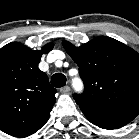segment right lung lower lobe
I'll list each match as a JSON object with an SVG mask.
<instances>
[{
	"label": "right lung lower lobe",
	"mask_w": 139,
	"mask_h": 139,
	"mask_svg": "<svg viewBox=\"0 0 139 139\" xmlns=\"http://www.w3.org/2000/svg\"><path fill=\"white\" fill-rule=\"evenodd\" d=\"M46 121H47V120H46ZM46 121L43 122L41 125L37 126L36 128H34V129H32V130H29L28 132L24 133V134L21 135L20 137H26V136H29V135L35 133L37 130H39V129L46 123Z\"/></svg>",
	"instance_id": "right-lung-lower-lobe-1"
}]
</instances>
